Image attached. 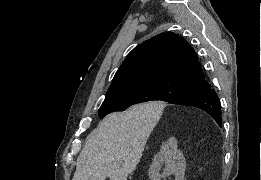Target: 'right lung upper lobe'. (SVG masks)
<instances>
[{
	"mask_svg": "<svg viewBox=\"0 0 261 180\" xmlns=\"http://www.w3.org/2000/svg\"><path fill=\"white\" fill-rule=\"evenodd\" d=\"M159 80L205 81L194 49L177 34L162 33L135 47L107 92Z\"/></svg>",
	"mask_w": 261,
	"mask_h": 180,
	"instance_id": "right-lung-upper-lobe-1",
	"label": "right lung upper lobe"
}]
</instances>
